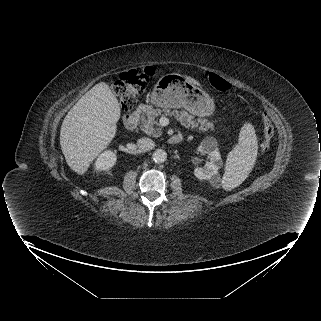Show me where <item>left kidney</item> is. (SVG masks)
I'll list each match as a JSON object with an SVG mask.
<instances>
[{
  "label": "left kidney",
  "instance_id": "5707ae66",
  "mask_svg": "<svg viewBox=\"0 0 321 321\" xmlns=\"http://www.w3.org/2000/svg\"><path fill=\"white\" fill-rule=\"evenodd\" d=\"M198 151L209 156L210 162H207L205 168L196 167L194 175L199 180H210L217 175L218 169L223 165L220 152L217 148V142L213 138L205 139L198 147Z\"/></svg>",
  "mask_w": 321,
  "mask_h": 321
}]
</instances>
